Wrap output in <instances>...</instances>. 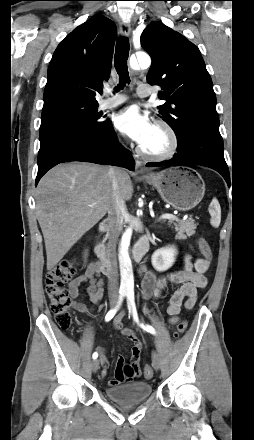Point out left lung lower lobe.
I'll use <instances>...</instances> for the list:
<instances>
[{"mask_svg": "<svg viewBox=\"0 0 254 440\" xmlns=\"http://www.w3.org/2000/svg\"><path fill=\"white\" fill-rule=\"evenodd\" d=\"M223 140L217 130L197 129L189 134L186 145H178L173 159L160 163L150 162L149 167L155 166H193L201 165L219 172L227 184H230L229 170L223 154Z\"/></svg>", "mask_w": 254, "mask_h": 440, "instance_id": "obj_1", "label": "left lung lower lobe"}]
</instances>
